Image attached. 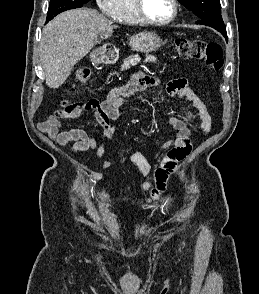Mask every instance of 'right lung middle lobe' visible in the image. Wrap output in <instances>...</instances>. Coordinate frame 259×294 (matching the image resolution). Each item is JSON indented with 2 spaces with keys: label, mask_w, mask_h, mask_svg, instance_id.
Masks as SVG:
<instances>
[{
  "label": "right lung middle lobe",
  "mask_w": 259,
  "mask_h": 294,
  "mask_svg": "<svg viewBox=\"0 0 259 294\" xmlns=\"http://www.w3.org/2000/svg\"><path fill=\"white\" fill-rule=\"evenodd\" d=\"M88 1L90 0H50L46 22L53 19L57 14L63 11L80 8Z\"/></svg>",
  "instance_id": "obj_1"
}]
</instances>
